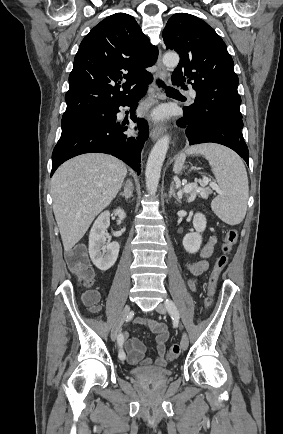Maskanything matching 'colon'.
Segmentation results:
<instances>
[{
	"label": "colon",
	"instance_id": "colon-1",
	"mask_svg": "<svg viewBox=\"0 0 283 434\" xmlns=\"http://www.w3.org/2000/svg\"><path fill=\"white\" fill-rule=\"evenodd\" d=\"M238 233L235 229H230L226 232L223 240L222 255H220L212 268L209 284H208V299L207 304H210L216 288L217 280L228 263L229 254L232 247L236 244ZM66 262L69 269L77 277V279L85 285H89L92 280V271L89 267L86 251L82 247H76L66 255ZM84 301L93 309L97 307L98 295L95 291L89 290L84 295ZM180 354L179 345H173L167 352V359L172 361Z\"/></svg>",
	"mask_w": 283,
	"mask_h": 434
}]
</instances>
